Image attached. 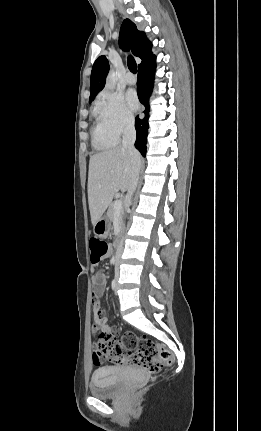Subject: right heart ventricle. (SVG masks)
<instances>
[{
  "label": "right heart ventricle",
  "instance_id": "e07e8e85",
  "mask_svg": "<svg viewBox=\"0 0 261 431\" xmlns=\"http://www.w3.org/2000/svg\"><path fill=\"white\" fill-rule=\"evenodd\" d=\"M94 117L95 123L92 131L94 146L100 150H107L116 146L118 143V137L107 129L97 108L95 109Z\"/></svg>",
  "mask_w": 261,
  "mask_h": 431
}]
</instances>
